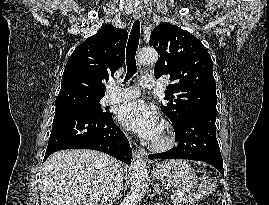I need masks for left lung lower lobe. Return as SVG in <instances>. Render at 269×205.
I'll return each instance as SVG.
<instances>
[{
  "mask_svg": "<svg viewBox=\"0 0 269 205\" xmlns=\"http://www.w3.org/2000/svg\"><path fill=\"white\" fill-rule=\"evenodd\" d=\"M216 113L201 112L187 116L174 126L176 148L159 154H150L149 159H190L207 162L222 175L223 159L215 132Z\"/></svg>",
  "mask_w": 269,
  "mask_h": 205,
  "instance_id": "1",
  "label": "left lung lower lobe"
}]
</instances>
